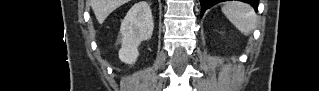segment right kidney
Listing matches in <instances>:
<instances>
[{
    "label": "right kidney",
    "mask_w": 319,
    "mask_h": 91,
    "mask_svg": "<svg viewBox=\"0 0 319 91\" xmlns=\"http://www.w3.org/2000/svg\"><path fill=\"white\" fill-rule=\"evenodd\" d=\"M154 28L150 6L146 1L136 3L122 21V34L119 58L126 64L136 62L138 46L143 40L150 39Z\"/></svg>",
    "instance_id": "right-kidney-1"
}]
</instances>
